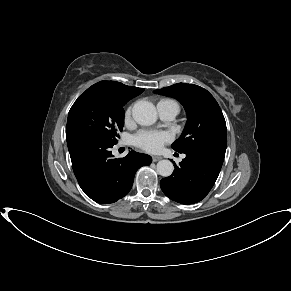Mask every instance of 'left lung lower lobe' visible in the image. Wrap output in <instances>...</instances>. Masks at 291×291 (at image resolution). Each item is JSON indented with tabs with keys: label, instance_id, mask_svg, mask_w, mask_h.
Returning a JSON list of instances; mask_svg holds the SVG:
<instances>
[{
	"label": "left lung lower lobe",
	"instance_id": "1",
	"mask_svg": "<svg viewBox=\"0 0 291 291\" xmlns=\"http://www.w3.org/2000/svg\"><path fill=\"white\" fill-rule=\"evenodd\" d=\"M171 176L163 178L160 186L164 194L181 204L201 201L213 187L224 161V154L191 151Z\"/></svg>",
	"mask_w": 291,
	"mask_h": 291
}]
</instances>
